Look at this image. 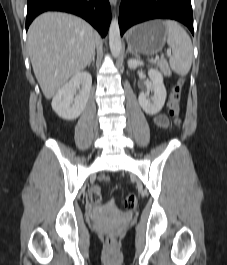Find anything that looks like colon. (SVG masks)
Segmentation results:
<instances>
[{"label":"colon","instance_id":"obj_1","mask_svg":"<svg viewBox=\"0 0 227 265\" xmlns=\"http://www.w3.org/2000/svg\"><path fill=\"white\" fill-rule=\"evenodd\" d=\"M183 81L177 80L171 87L170 96L168 101V108L170 115L175 119L177 125L180 124V100ZM110 178L106 175L100 177V181L103 183L109 182ZM89 198L92 204L98 206L102 203V194L99 186H94L89 192ZM137 205V198L135 195H128L123 201V208L126 211L133 210ZM105 241L109 246H113L115 243V237L113 235H106Z\"/></svg>","mask_w":227,"mask_h":265}]
</instances>
